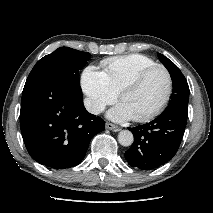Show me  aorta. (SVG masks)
I'll return each instance as SVG.
<instances>
[{
  "instance_id": "aorta-1",
  "label": "aorta",
  "mask_w": 213,
  "mask_h": 213,
  "mask_svg": "<svg viewBox=\"0 0 213 213\" xmlns=\"http://www.w3.org/2000/svg\"><path fill=\"white\" fill-rule=\"evenodd\" d=\"M133 141H134L133 134L129 130H122L119 132L118 142L122 146H125V147L130 146L133 144Z\"/></svg>"
}]
</instances>
